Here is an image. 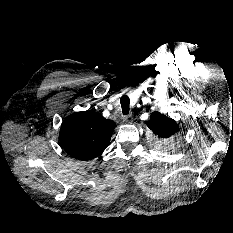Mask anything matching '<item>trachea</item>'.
<instances>
[{
    "instance_id": "3493384b",
    "label": "trachea",
    "mask_w": 233,
    "mask_h": 233,
    "mask_svg": "<svg viewBox=\"0 0 233 233\" xmlns=\"http://www.w3.org/2000/svg\"><path fill=\"white\" fill-rule=\"evenodd\" d=\"M120 103H121L123 115H127L129 113V105H130L129 97L127 95H123L120 98Z\"/></svg>"
}]
</instances>
